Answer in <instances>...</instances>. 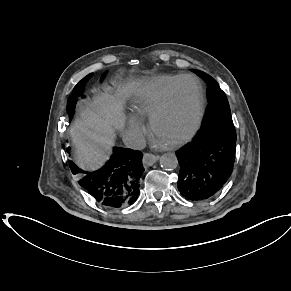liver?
<instances>
[{"label": "liver", "instance_id": "6515ba94", "mask_svg": "<svg viewBox=\"0 0 291 291\" xmlns=\"http://www.w3.org/2000/svg\"><path fill=\"white\" fill-rule=\"evenodd\" d=\"M132 83L94 96L93 101L81 106L80 116L70 127L75 146L74 160L83 169L94 170L108 159L114 144L115 129H122L125 115L119 96L138 86Z\"/></svg>", "mask_w": 291, "mask_h": 291}]
</instances>
